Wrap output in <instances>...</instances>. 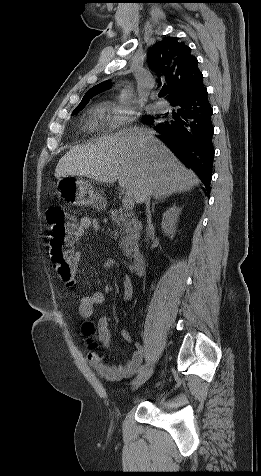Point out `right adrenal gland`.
<instances>
[{"instance_id": "2a0ac1e0", "label": "right adrenal gland", "mask_w": 261, "mask_h": 476, "mask_svg": "<svg viewBox=\"0 0 261 476\" xmlns=\"http://www.w3.org/2000/svg\"><path fill=\"white\" fill-rule=\"evenodd\" d=\"M165 198H166V197L159 198V199H157V200H155V201L153 202V204H152V212H154L155 204H156L157 202L164 201Z\"/></svg>"}]
</instances>
